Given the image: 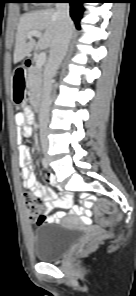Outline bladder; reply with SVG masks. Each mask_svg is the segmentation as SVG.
<instances>
[{
	"label": "bladder",
	"mask_w": 136,
	"mask_h": 296,
	"mask_svg": "<svg viewBox=\"0 0 136 296\" xmlns=\"http://www.w3.org/2000/svg\"><path fill=\"white\" fill-rule=\"evenodd\" d=\"M80 239V231L61 224H44L31 234L33 253L38 261L59 260Z\"/></svg>",
	"instance_id": "bladder-1"
}]
</instances>
